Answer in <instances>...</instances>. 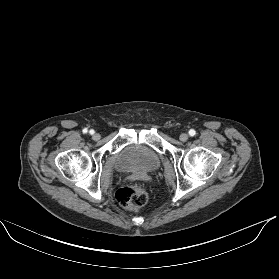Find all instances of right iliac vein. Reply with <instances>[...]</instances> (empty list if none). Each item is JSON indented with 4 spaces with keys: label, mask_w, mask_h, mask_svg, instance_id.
I'll list each match as a JSON object with an SVG mask.
<instances>
[{
    "label": "right iliac vein",
    "mask_w": 279,
    "mask_h": 279,
    "mask_svg": "<svg viewBox=\"0 0 279 279\" xmlns=\"http://www.w3.org/2000/svg\"><path fill=\"white\" fill-rule=\"evenodd\" d=\"M92 137H93L94 140H99L100 139V134L99 133H94Z\"/></svg>",
    "instance_id": "63e3f726"
}]
</instances>
